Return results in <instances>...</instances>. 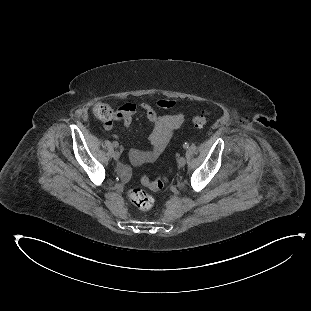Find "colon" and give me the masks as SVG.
<instances>
[{"mask_svg":"<svg viewBox=\"0 0 311 311\" xmlns=\"http://www.w3.org/2000/svg\"><path fill=\"white\" fill-rule=\"evenodd\" d=\"M91 112L97 119L105 122L106 124L110 123L114 117V111L106 103H96L92 106ZM210 118V112L207 110H202L198 112L193 118L192 123L196 128H203L207 125ZM168 177L166 175L157 177L153 180L144 178L142 183L150 188L151 190H161L166 185ZM129 199L132 203L140 210L147 211L153 207L154 200L153 198L145 193L142 189L131 188L128 191Z\"/></svg>","mask_w":311,"mask_h":311,"instance_id":"1","label":"colon"}]
</instances>
